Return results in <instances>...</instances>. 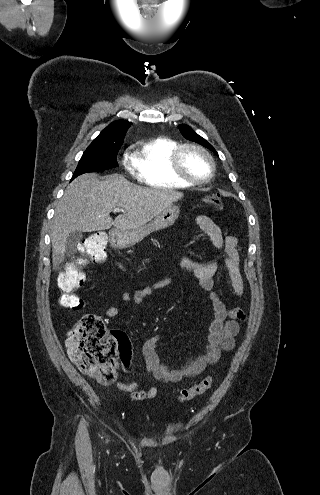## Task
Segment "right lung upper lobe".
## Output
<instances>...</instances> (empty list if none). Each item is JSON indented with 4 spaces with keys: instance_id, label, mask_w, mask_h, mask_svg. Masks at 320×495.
Masks as SVG:
<instances>
[{
    "instance_id": "1",
    "label": "right lung upper lobe",
    "mask_w": 320,
    "mask_h": 495,
    "mask_svg": "<svg viewBox=\"0 0 320 495\" xmlns=\"http://www.w3.org/2000/svg\"><path fill=\"white\" fill-rule=\"evenodd\" d=\"M131 125L126 120H117L110 123L101 133L92 141L90 146H112L122 145L127 129Z\"/></svg>"
}]
</instances>
